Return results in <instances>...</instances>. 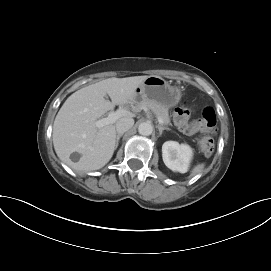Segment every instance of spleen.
Returning a JSON list of instances; mask_svg holds the SVG:
<instances>
[{
  "label": "spleen",
  "mask_w": 271,
  "mask_h": 271,
  "mask_svg": "<svg viewBox=\"0 0 271 271\" xmlns=\"http://www.w3.org/2000/svg\"><path fill=\"white\" fill-rule=\"evenodd\" d=\"M204 167H205L204 164L196 165L191 171V176H195V175L201 173L203 171Z\"/></svg>",
  "instance_id": "3e777b00"
}]
</instances>
